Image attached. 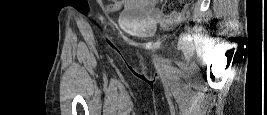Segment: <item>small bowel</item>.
Instances as JSON below:
<instances>
[{
    "label": "small bowel",
    "instance_id": "c3829d8e",
    "mask_svg": "<svg viewBox=\"0 0 267 115\" xmlns=\"http://www.w3.org/2000/svg\"><path fill=\"white\" fill-rule=\"evenodd\" d=\"M125 5L128 8H139L147 11L153 18L159 19L161 17L157 8L158 0H127Z\"/></svg>",
    "mask_w": 267,
    "mask_h": 115
}]
</instances>
